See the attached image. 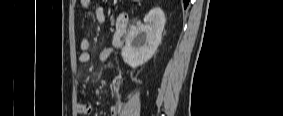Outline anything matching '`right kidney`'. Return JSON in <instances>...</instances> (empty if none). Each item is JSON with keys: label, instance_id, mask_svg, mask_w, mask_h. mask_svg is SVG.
I'll return each instance as SVG.
<instances>
[{"label": "right kidney", "instance_id": "right-kidney-1", "mask_svg": "<svg viewBox=\"0 0 283 116\" xmlns=\"http://www.w3.org/2000/svg\"><path fill=\"white\" fill-rule=\"evenodd\" d=\"M165 21L164 12L156 7L145 16V25L133 28L129 32L122 48L125 63L135 68L151 59L161 43Z\"/></svg>", "mask_w": 283, "mask_h": 116}]
</instances>
